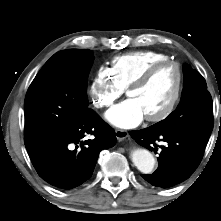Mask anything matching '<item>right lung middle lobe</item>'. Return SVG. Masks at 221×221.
Returning <instances> with one entry per match:
<instances>
[{
	"mask_svg": "<svg viewBox=\"0 0 221 221\" xmlns=\"http://www.w3.org/2000/svg\"><path fill=\"white\" fill-rule=\"evenodd\" d=\"M93 60L91 50L69 49L45 63L25 97V137L71 131L87 116V82Z\"/></svg>",
	"mask_w": 221,
	"mask_h": 221,
	"instance_id": "obj_1",
	"label": "right lung middle lobe"
}]
</instances>
